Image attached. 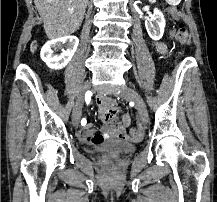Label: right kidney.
Masks as SVG:
<instances>
[{
  "label": "right kidney",
  "mask_w": 217,
  "mask_h": 202,
  "mask_svg": "<svg viewBox=\"0 0 217 202\" xmlns=\"http://www.w3.org/2000/svg\"><path fill=\"white\" fill-rule=\"evenodd\" d=\"M78 44L79 40L76 36H64V38L50 40V42L44 44L40 52V58L47 64L48 68L62 70L74 56ZM59 50H61L62 54H56Z\"/></svg>",
  "instance_id": "obj_1"
}]
</instances>
